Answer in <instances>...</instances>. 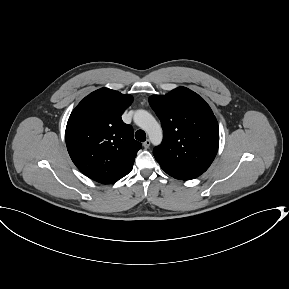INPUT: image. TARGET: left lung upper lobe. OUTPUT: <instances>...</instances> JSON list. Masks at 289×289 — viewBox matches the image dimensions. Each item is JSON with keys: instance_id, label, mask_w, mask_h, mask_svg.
I'll return each mask as SVG.
<instances>
[{"instance_id": "1", "label": "left lung upper lobe", "mask_w": 289, "mask_h": 289, "mask_svg": "<svg viewBox=\"0 0 289 289\" xmlns=\"http://www.w3.org/2000/svg\"><path fill=\"white\" fill-rule=\"evenodd\" d=\"M149 103L163 128V141L153 150L161 168L176 179L200 176L213 162L219 146L218 122L209 105L185 87L153 95Z\"/></svg>"}]
</instances>
